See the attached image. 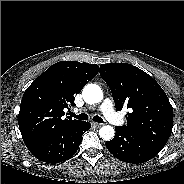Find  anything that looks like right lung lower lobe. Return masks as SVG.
I'll return each instance as SVG.
<instances>
[{
  "instance_id": "obj_1",
  "label": "right lung lower lobe",
  "mask_w": 184,
  "mask_h": 184,
  "mask_svg": "<svg viewBox=\"0 0 184 184\" xmlns=\"http://www.w3.org/2000/svg\"><path fill=\"white\" fill-rule=\"evenodd\" d=\"M90 127V123L82 121L63 132L49 134L25 144L37 159L46 163H59L76 153L82 135Z\"/></svg>"
}]
</instances>
